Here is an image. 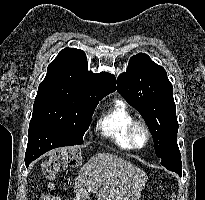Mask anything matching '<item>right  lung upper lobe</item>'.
I'll return each mask as SVG.
<instances>
[{
  "instance_id": "obj_1",
  "label": "right lung upper lobe",
  "mask_w": 205,
  "mask_h": 200,
  "mask_svg": "<svg viewBox=\"0 0 205 200\" xmlns=\"http://www.w3.org/2000/svg\"><path fill=\"white\" fill-rule=\"evenodd\" d=\"M43 82L64 83L83 90L93 98L102 99L115 90L112 74L88 71L87 58L82 50L65 48L47 68Z\"/></svg>"
}]
</instances>
